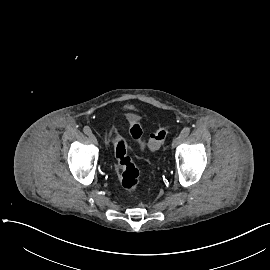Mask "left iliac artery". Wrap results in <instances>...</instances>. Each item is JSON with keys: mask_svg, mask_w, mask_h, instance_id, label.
Returning a JSON list of instances; mask_svg holds the SVG:
<instances>
[{"mask_svg": "<svg viewBox=\"0 0 270 270\" xmlns=\"http://www.w3.org/2000/svg\"><path fill=\"white\" fill-rule=\"evenodd\" d=\"M190 133V128L189 127H185L183 128V130L181 131L180 135L183 137V138H186Z\"/></svg>", "mask_w": 270, "mask_h": 270, "instance_id": "obj_1", "label": "left iliac artery"}]
</instances>
